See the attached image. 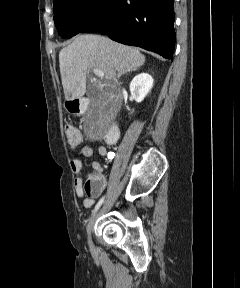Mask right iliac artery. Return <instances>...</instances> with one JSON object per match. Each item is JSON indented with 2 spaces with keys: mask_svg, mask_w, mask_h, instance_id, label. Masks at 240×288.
I'll list each match as a JSON object with an SVG mask.
<instances>
[{
  "mask_svg": "<svg viewBox=\"0 0 240 288\" xmlns=\"http://www.w3.org/2000/svg\"><path fill=\"white\" fill-rule=\"evenodd\" d=\"M105 199V196H103L98 203L96 204L95 208L93 209L92 213L94 214L95 212H97V210L100 208V206L102 205L103 201Z\"/></svg>",
  "mask_w": 240,
  "mask_h": 288,
  "instance_id": "obj_1",
  "label": "right iliac artery"
}]
</instances>
